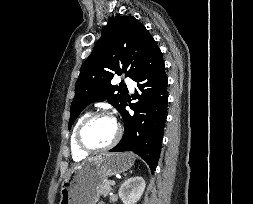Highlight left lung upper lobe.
I'll return each instance as SVG.
<instances>
[{"mask_svg": "<svg viewBox=\"0 0 253 204\" xmlns=\"http://www.w3.org/2000/svg\"><path fill=\"white\" fill-rule=\"evenodd\" d=\"M155 44L151 34L135 17L111 18L92 53L81 66L75 84L76 95L71 104L69 129L91 102L107 99L120 112L126 100V91L111 85L112 78L124 73L134 79Z\"/></svg>", "mask_w": 253, "mask_h": 204, "instance_id": "1", "label": "left lung upper lobe"}]
</instances>
